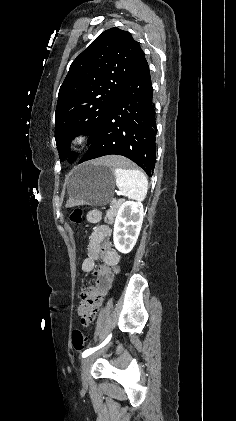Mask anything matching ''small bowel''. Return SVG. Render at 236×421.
I'll return each mask as SVG.
<instances>
[{
  "instance_id": "1",
  "label": "small bowel",
  "mask_w": 236,
  "mask_h": 421,
  "mask_svg": "<svg viewBox=\"0 0 236 421\" xmlns=\"http://www.w3.org/2000/svg\"><path fill=\"white\" fill-rule=\"evenodd\" d=\"M87 220L92 224H99L101 221V213L96 210H92L87 214ZM110 228L105 225H98L91 237V243H90V250H91V256H93V252L97 248V244L100 240L105 239L110 234ZM83 296V295H82ZM78 314L83 316V309L81 307L78 308Z\"/></svg>"
}]
</instances>
